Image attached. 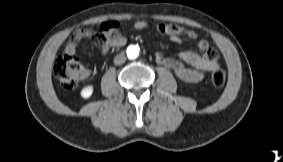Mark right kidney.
<instances>
[{
	"mask_svg": "<svg viewBox=\"0 0 283 162\" xmlns=\"http://www.w3.org/2000/svg\"><path fill=\"white\" fill-rule=\"evenodd\" d=\"M93 93V86H86L81 90V97L84 99H88Z\"/></svg>",
	"mask_w": 283,
	"mask_h": 162,
	"instance_id": "1",
	"label": "right kidney"
}]
</instances>
